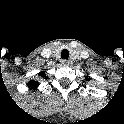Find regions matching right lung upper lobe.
Wrapping results in <instances>:
<instances>
[{
    "mask_svg": "<svg viewBox=\"0 0 124 124\" xmlns=\"http://www.w3.org/2000/svg\"><path fill=\"white\" fill-rule=\"evenodd\" d=\"M39 75L41 77L46 76V74L44 72H40ZM28 86L31 87V89H36L39 86V83L37 81L31 80L28 82Z\"/></svg>",
    "mask_w": 124,
    "mask_h": 124,
    "instance_id": "obj_1",
    "label": "right lung upper lobe"
}]
</instances>
